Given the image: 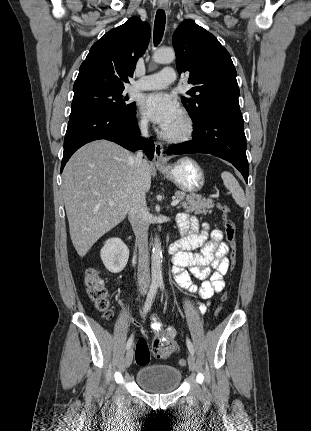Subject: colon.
<instances>
[{
    "mask_svg": "<svg viewBox=\"0 0 311 431\" xmlns=\"http://www.w3.org/2000/svg\"><path fill=\"white\" fill-rule=\"evenodd\" d=\"M218 210L222 215L224 236L230 247L229 255V267L233 270L237 264V246H236V226L230 218V206L226 203H219ZM84 284L86 287L89 298L94 303L96 309L106 318L111 319L114 315L111 302L107 297L106 290L101 280L99 271L95 268H89L86 270L84 275ZM227 299V295L224 294L222 302ZM221 306L218 308V311ZM176 350V345L173 341L166 338H157L152 343V353L157 358H167L171 356ZM150 360V349L148 343L144 338H141L135 351V361L138 365L143 366L149 363ZM180 366L186 365L185 359L179 360Z\"/></svg>",
    "mask_w": 311,
    "mask_h": 431,
    "instance_id": "colon-1",
    "label": "colon"
}]
</instances>
